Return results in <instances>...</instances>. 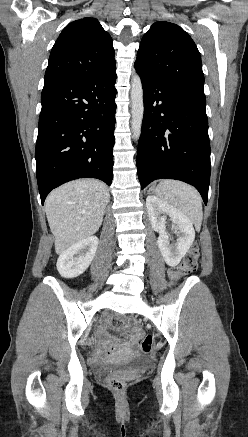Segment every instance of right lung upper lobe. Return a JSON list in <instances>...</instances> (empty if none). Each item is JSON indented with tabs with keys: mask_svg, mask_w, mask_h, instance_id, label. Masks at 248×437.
Returning <instances> with one entry per match:
<instances>
[{
	"mask_svg": "<svg viewBox=\"0 0 248 437\" xmlns=\"http://www.w3.org/2000/svg\"><path fill=\"white\" fill-rule=\"evenodd\" d=\"M111 36L97 19L70 23L59 35L49 57L45 81L82 80L116 68Z\"/></svg>",
	"mask_w": 248,
	"mask_h": 437,
	"instance_id": "cb5924a9",
	"label": "right lung upper lobe"
}]
</instances>
